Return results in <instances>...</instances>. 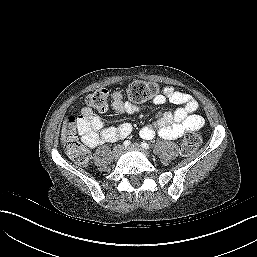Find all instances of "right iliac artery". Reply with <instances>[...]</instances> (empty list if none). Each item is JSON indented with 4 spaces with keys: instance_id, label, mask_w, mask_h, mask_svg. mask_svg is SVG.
Instances as JSON below:
<instances>
[{
    "instance_id": "1",
    "label": "right iliac artery",
    "mask_w": 257,
    "mask_h": 257,
    "mask_svg": "<svg viewBox=\"0 0 257 257\" xmlns=\"http://www.w3.org/2000/svg\"><path fill=\"white\" fill-rule=\"evenodd\" d=\"M123 145L125 147H129L131 145V142L129 140L124 141Z\"/></svg>"
}]
</instances>
